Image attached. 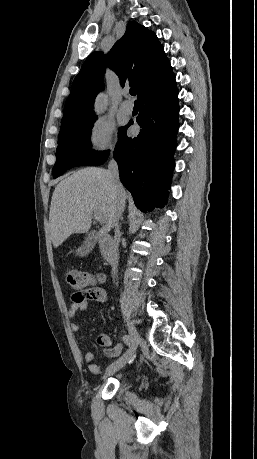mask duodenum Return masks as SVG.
<instances>
[{
    "label": "duodenum",
    "mask_w": 257,
    "mask_h": 459,
    "mask_svg": "<svg viewBox=\"0 0 257 459\" xmlns=\"http://www.w3.org/2000/svg\"><path fill=\"white\" fill-rule=\"evenodd\" d=\"M97 235L102 258L105 262H109L113 254L114 239L106 233H98Z\"/></svg>",
    "instance_id": "duodenum-1"
}]
</instances>
